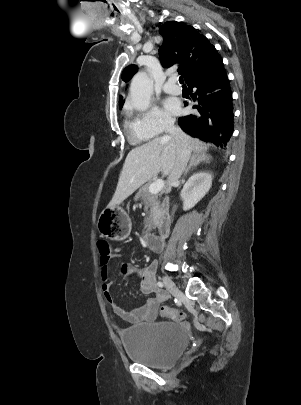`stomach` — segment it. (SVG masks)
Listing matches in <instances>:
<instances>
[{"mask_svg": "<svg viewBox=\"0 0 301 405\" xmlns=\"http://www.w3.org/2000/svg\"><path fill=\"white\" fill-rule=\"evenodd\" d=\"M97 227L103 237L122 241L130 235L131 220L121 207H107L99 215Z\"/></svg>", "mask_w": 301, "mask_h": 405, "instance_id": "stomach-1", "label": "stomach"}]
</instances>
